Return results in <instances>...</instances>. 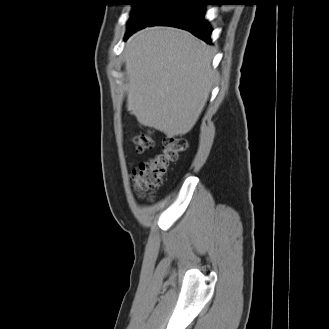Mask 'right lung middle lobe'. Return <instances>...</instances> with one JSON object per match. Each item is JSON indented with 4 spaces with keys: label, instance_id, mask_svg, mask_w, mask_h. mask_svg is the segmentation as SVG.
Returning a JSON list of instances; mask_svg holds the SVG:
<instances>
[{
    "label": "right lung middle lobe",
    "instance_id": "right-lung-middle-lobe-1",
    "mask_svg": "<svg viewBox=\"0 0 329 329\" xmlns=\"http://www.w3.org/2000/svg\"><path fill=\"white\" fill-rule=\"evenodd\" d=\"M133 10L128 20L126 35L136 28L146 26L153 21L167 6L179 0H132Z\"/></svg>",
    "mask_w": 329,
    "mask_h": 329
}]
</instances>
